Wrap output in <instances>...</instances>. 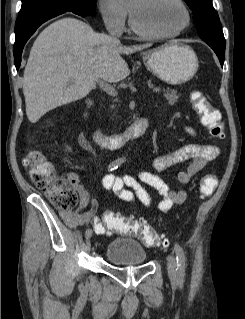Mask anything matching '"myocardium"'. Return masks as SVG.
<instances>
[{
    "mask_svg": "<svg viewBox=\"0 0 245 319\" xmlns=\"http://www.w3.org/2000/svg\"><path fill=\"white\" fill-rule=\"evenodd\" d=\"M174 1L182 8V10L184 11V14H185L184 24L176 31L170 32V33H155V32L147 31V30L143 29L142 27H140V25L137 23V21L134 17L133 12L131 11L130 8H128L129 22H130L131 29L137 35L144 37V38H147V39L165 40V39H172V38L179 36L184 31H186L188 29V27L190 26L191 14H190V11H189L187 5L183 2V0H174Z\"/></svg>",
    "mask_w": 245,
    "mask_h": 319,
    "instance_id": "1",
    "label": "myocardium"
}]
</instances>
